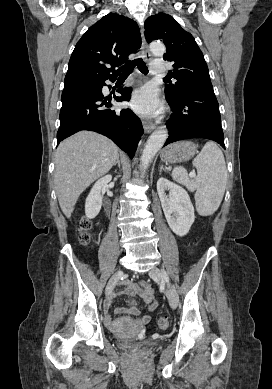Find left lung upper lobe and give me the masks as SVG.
Masks as SVG:
<instances>
[{
  "label": "left lung upper lobe",
  "mask_w": 272,
  "mask_h": 389,
  "mask_svg": "<svg viewBox=\"0 0 272 389\" xmlns=\"http://www.w3.org/2000/svg\"><path fill=\"white\" fill-rule=\"evenodd\" d=\"M145 37L148 43L163 40L166 45L163 59L174 63L171 75L177 82L165 86L166 97L177 98L183 88L212 85L203 53L195 39L173 17L158 13L147 18Z\"/></svg>",
  "instance_id": "5c2ea615"
}]
</instances>
